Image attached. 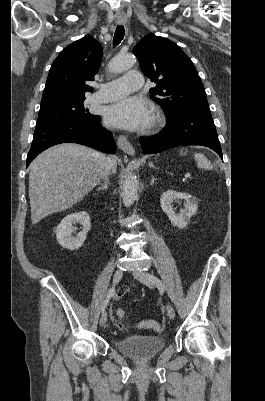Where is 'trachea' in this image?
I'll return each mask as SVG.
<instances>
[{
  "label": "trachea",
  "instance_id": "obj_1",
  "mask_svg": "<svg viewBox=\"0 0 265 401\" xmlns=\"http://www.w3.org/2000/svg\"><path fill=\"white\" fill-rule=\"evenodd\" d=\"M124 33H125L124 27L122 25H118L115 30V34H114V38H113V44L115 46L119 45V43L123 40Z\"/></svg>",
  "mask_w": 265,
  "mask_h": 401
}]
</instances>
